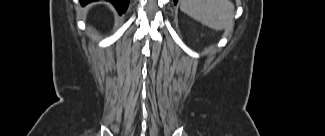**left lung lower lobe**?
Wrapping results in <instances>:
<instances>
[{"label":"left lung lower lobe","instance_id":"obj_1","mask_svg":"<svg viewBox=\"0 0 325 136\" xmlns=\"http://www.w3.org/2000/svg\"><path fill=\"white\" fill-rule=\"evenodd\" d=\"M178 0H174V3L176 4Z\"/></svg>","mask_w":325,"mask_h":136}]
</instances>
